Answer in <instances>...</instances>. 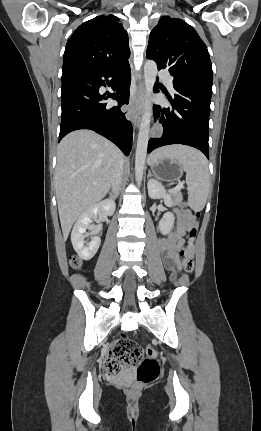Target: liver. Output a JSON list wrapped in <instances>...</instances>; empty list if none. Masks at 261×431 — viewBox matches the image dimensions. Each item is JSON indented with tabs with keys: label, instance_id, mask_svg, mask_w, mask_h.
I'll list each match as a JSON object with an SVG mask.
<instances>
[{
	"label": "liver",
	"instance_id": "obj_1",
	"mask_svg": "<svg viewBox=\"0 0 261 431\" xmlns=\"http://www.w3.org/2000/svg\"><path fill=\"white\" fill-rule=\"evenodd\" d=\"M120 161L122 152L94 131L77 130L62 139L55 190L64 240L79 216L106 196Z\"/></svg>",
	"mask_w": 261,
	"mask_h": 431
}]
</instances>
